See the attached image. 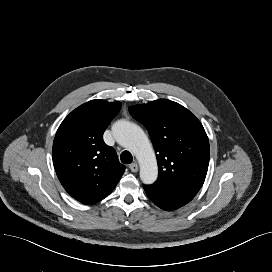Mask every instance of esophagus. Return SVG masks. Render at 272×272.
Wrapping results in <instances>:
<instances>
[{
    "label": "esophagus",
    "mask_w": 272,
    "mask_h": 272,
    "mask_svg": "<svg viewBox=\"0 0 272 272\" xmlns=\"http://www.w3.org/2000/svg\"><path fill=\"white\" fill-rule=\"evenodd\" d=\"M129 169L132 171V172H137L139 167H138V164L137 163H132L129 165Z\"/></svg>",
    "instance_id": "esophagus-1"
}]
</instances>
